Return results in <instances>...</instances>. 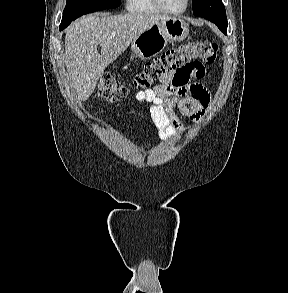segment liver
I'll list each match as a JSON object with an SVG mask.
<instances>
[{"label":"liver","mask_w":288,"mask_h":293,"mask_svg":"<svg viewBox=\"0 0 288 293\" xmlns=\"http://www.w3.org/2000/svg\"><path fill=\"white\" fill-rule=\"evenodd\" d=\"M165 18L153 13H127L87 15L74 21L66 29L65 65L77 100H87L106 67L141 33Z\"/></svg>","instance_id":"1"}]
</instances>
